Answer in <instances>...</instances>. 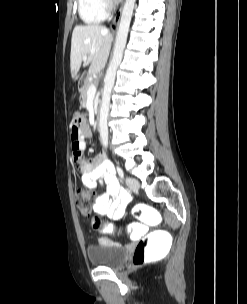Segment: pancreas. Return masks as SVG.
<instances>
[{"instance_id": "cf45deb5", "label": "pancreas", "mask_w": 247, "mask_h": 304, "mask_svg": "<svg viewBox=\"0 0 247 304\" xmlns=\"http://www.w3.org/2000/svg\"><path fill=\"white\" fill-rule=\"evenodd\" d=\"M92 84V81L86 80L83 87L79 90L81 96V105L84 107L87 101V91L89 86Z\"/></svg>"}]
</instances>
